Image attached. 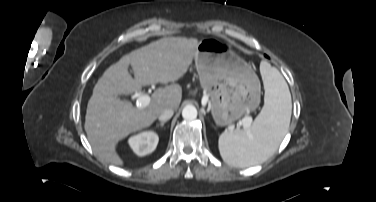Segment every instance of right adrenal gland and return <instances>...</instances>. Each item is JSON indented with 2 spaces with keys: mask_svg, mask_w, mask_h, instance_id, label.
<instances>
[{
  "mask_svg": "<svg viewBox=\"0 0 376 202\" xmlns=\"http://www.w3.org/2000/svg\"><path fill=\"white\" fill-rule=\"evenodd\" d=\"M165 123H166V122H161V123L158 124V125H160L161 127H163Z\"/></svg>",
  "mask_w": 376,
  "mask_h": 202,
  "instance_id": "2a0ac1e0",
  "label": "right adrenal gland"
}]
</instances>
